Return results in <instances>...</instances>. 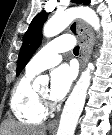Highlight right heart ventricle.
Listing matches in <instances>:
<instances>
[{"mask_svg": "<svg viewBox=\"0 0 112 135\" xmlns=\"http://www.w3.org/2000/svg\"><path fill=\"white\" fill-rule=\"evenodd\" d=\"M35 74L26 73L13 89L10 108L16 119L28 125L42 123L47 116V110L42 106L32 81Z\"/></svg>", "mask_w": 112, "mask_h": 135, "instance_id": "obj_1", "label": "right heart ventricle"}]
</instances>
